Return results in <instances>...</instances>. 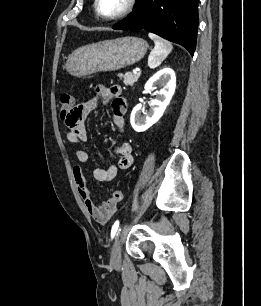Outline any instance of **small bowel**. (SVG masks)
I'll list each match as a JSON object with an SVG mask.
<instances>
[{
    "instance_id": "1",
    "label": "small bowel",
    "mask_w": 261,
    "mask_h": 306,
    "mask_svg": "<svg viewBox=\"0 0 261 306\" xmlns=\"http://www.w3.org/2000/svg\"><path fill=\"white\" fill-rule=\"evenodd\" d=\"M99 103H112L113 121L119 130L124 127V115L126 111L125 103L122 98V88L119 85L111 87L100 86L96 88L95 96L83 102L64 118L68 128L66 140L74 145L82 146L88 140V133L85 121L89 114L93 112ZM116 153L119 157L115 164L110 165L107 169L95 168L93 171L94 178L99 182H109L113 180L120 170L128 169L133 163L132 146L129 142H122L116 147ZM74 156L80 164L88 161V153L77 148L74 150ZM80 164L73 167V175L77 185L79 195L89 215L99 224H106L117 211V202L112 198L107 199L101 204H97L87 186Z\"/></svg>"
}]
</instances>
